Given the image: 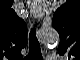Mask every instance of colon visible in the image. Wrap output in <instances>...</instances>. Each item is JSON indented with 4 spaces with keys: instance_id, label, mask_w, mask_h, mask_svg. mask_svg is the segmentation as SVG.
Returning a JSON list of instances; mask_svg holds the SVG:
<instances>
[{
    "instance_id": "1",
    "label": "colon",
    "mask_w": 80,
    "mask_h": 60,
    "mask_svg": "<svg viewBox=\"0 0 80 60\" xmlns=\"http://www.w3.org/2000/svg\"><path fill=\"white\" fill-rule=\"evenodd\" d=\"M40 55H36L35 58H39Z\"/></svg>"
}]
</instances>
